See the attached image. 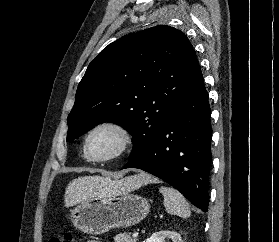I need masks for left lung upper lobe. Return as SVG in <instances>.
Instances as JSON below:
<instances>
[{
  "instance_id": "5c2ea615",
  "label": "left lung upper lobe",
  "mask_w": 279,
  "mask_h": 242,
  "mask_svg": "<svg viewBox=\"0 0 279 242\" xmlns=\"http://www.w3.org/2000/svg\"><path fill=\"white\" fill-rule=\"evenodd\" d=\"M197 64L186 35L166 25L109 44L79 83L67 141L114 122L134 137L129 160L140 156L162 131Z\"/></svg>"
}]
</instances>
